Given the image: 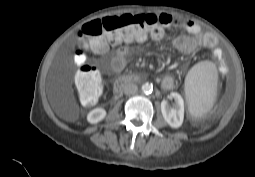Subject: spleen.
Returning a JSON list of instances; mask_svg holds the SVG:
<instances>
[{
	"mask_svg": "<svg viewBox=\"0 0 255 177\" xmlns=\"http://www.w3.org/2000/svg\"><path fill=\"white\" fill-rule=\"evenodd\" d=\"M217 87L216 66L210 61L194 65L185 79V94L190 114L205 115L213 106Z\"/></svg>",
	"mask_w": 255,
	"mask_h": 177,
	"instance_id": "3e777b00",
	"label": "spleen"
}]
</instances>
